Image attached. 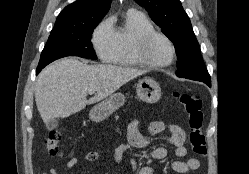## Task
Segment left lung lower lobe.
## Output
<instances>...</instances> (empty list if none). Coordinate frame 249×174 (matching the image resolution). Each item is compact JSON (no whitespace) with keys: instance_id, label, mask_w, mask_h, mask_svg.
Segmentation results:
<instances>
[{"instance_id":"left-lung-lower-lobe-1","label":"left lung lower lobe","mask_w":249,"mask_h":174,"mask_svg":"<svg viewBox=\"0 0 249 174\" xmlns=\"http://www.w3.org/2000/svg\"><path fill=\"white\" fill-rule=\"evenodd\" d=\"M191 80L202 81L205 84H207L209 87H211V79H208V78H195V79H191Z\"/></svg>"}]
</instances>
